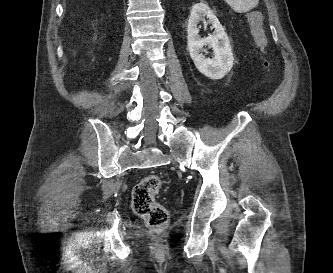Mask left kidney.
Wrapping results in <instances>:
<instances>
[{
  "instance_id": "left-kidney-1",
  "label": "left kidney",
  "mask_w": 333,
  "mask_h": 273,
  "mask_svg": "<svg viewBox=\"0 0 333 273\" xmlns=\"http://www.w3.org/2000/svg\"><path fill=\"white\" fill-rule=\"evenodd\" d=\"M204 16L209 19L214 32L206 38H201L197 25ZM187 33L188 51L196 68L210 79L223 78L233 67L232 47L224 28L206 3L201 1L193 5ZM206 45L213 49L214 57L211 59L201 53Z\"/></svg>"
}]
</instances>
